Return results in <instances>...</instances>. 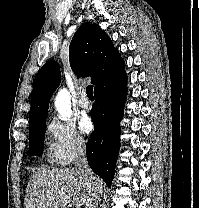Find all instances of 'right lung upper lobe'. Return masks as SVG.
<instances>
[{
    "instance_id": "cb5924a9",
    "label": "right lung upper lobe",
    "mask_w": 199,
    "mask_h": 208,
    "mask_svg": "<svg viewBox=\"0 0 199 208\" xmlns=\"http://www.w3.org/2000/svg\"><path fill=\"white\" fill-rule=\"evenodd\" d=\"M69 61L73 72L90 76L94 92L118 81L126 75L125 63L109 36L97 25L83 23L72 38ZM60 67L47 62L37 73L31 95L29 131L45 123L53 92L60 84Z\"/></svg>"
}]
</instances>
